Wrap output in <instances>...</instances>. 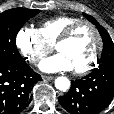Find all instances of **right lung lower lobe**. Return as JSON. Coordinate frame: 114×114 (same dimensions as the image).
<instances>
[{
	"instance_id": "right-lung-lower-lobe-1",
	"label": "right lung lower lobe",
	"mask_w": 114,
	"mask_h": 114,
	"mask_svg": "<svg viewBox=\"0 0 114 114\" xmlns=\"http://www.w3.org/2000/svg\"><path fill=\"white\" fill-rule=\"evenodd\" d=\"M41 80L25 60L0 62V114H20L31 102L33 85Z\"/></svg>"
}]
</instances>
